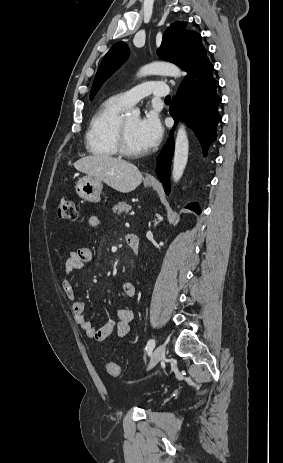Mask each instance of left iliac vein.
Returning a JSON list of instances; mask_svg holds the SVG:
<instances>
[{
    "label": "left iliac vein",
    "instance_id": "obj_1",
    "mask_svg": "<svg viewBox=\"0 0 283 463\" xmlns=\"http://www.w3.org/2000/svg\"><path fill=\"white\" fill-rule=\"evenodd\" d=\"M165 357V345L160 344L156 349L154 350L152 357L150 359V363L148 366V369L154 367L156 364H158L159 361H161Z\"/></svg>",
    "mask_w": 283,
    "mask_h": 463
}]
</instances>
